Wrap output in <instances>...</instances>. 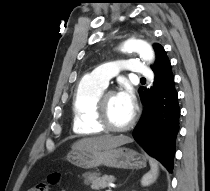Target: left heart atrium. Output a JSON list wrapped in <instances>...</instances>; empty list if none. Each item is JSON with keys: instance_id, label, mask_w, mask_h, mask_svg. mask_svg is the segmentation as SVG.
<instances>
[{"instance_id": "39dd6f15", "label": "left heart atrium", "mask_w": 210, "mask_h": 191, "mask_svg": "<svg viewBox=\"0 0 210 191\" xmlns=\"http://www.w3.org/2000/svg\"><path fill=\"white\" fill-rule=\"evenodd\" d=\"M118 99L130 110H134L135 96L129 85H124L117 94Z\"/></svg>"}]
</instances>
